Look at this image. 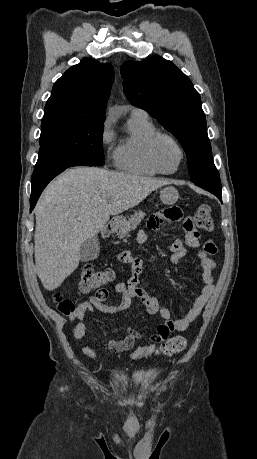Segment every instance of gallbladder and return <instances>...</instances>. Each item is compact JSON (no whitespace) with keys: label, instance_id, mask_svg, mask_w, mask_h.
I'll return each mask as SVG.
<instances>
[{"label":"gallbladder","instance_id":"1","mask_svg":"<svg viewBox=\"0 0 257 459\" xmlns=\"http://www.w3.org/2000/svg\"><path fill=\"white\" fill-rule=\"evenodd\" d=\"M100 246L97 236L87 239L80 248V260L83 262L94 260L99 256Z\"/></svg>","mask_w":257,"mask_h":459}]
</instances>
